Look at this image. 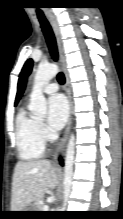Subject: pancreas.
I'll return each instance as SVG.
<instances>
[{
	"mask_svg": "<svg viewBox=\"0 0 123 219\" xmlns=\"http://www.w3.org/2000/svg\"><path fill=\"white\" fill-rule=\"evenodd\" d=\"M34 207L37 211H43V205H42L40 199H38L34 202Z\"/></svg>",
	"mask_w": 123,
	"mask_h": 219,
	"instance_id": "pancreas-1",
	"label": "pancreas"
}]
</instances>
